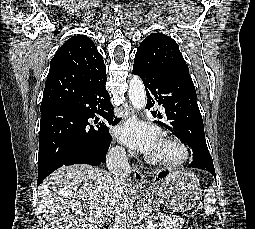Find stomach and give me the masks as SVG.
I'll use <instances>...</instances> for the list:
<instances>
[{
    "label": "stomach",
    "mask_w": 255,
    "mask_h": 229,
    "mask_svg": "<svg viewBox=\"0 0 255 229\" xmlns=\"http://www.w3.org/2000/svg\"><path fill=\"white\" fill-rule=\"evenodd\" d=\"M156 195L166 199L173 212L182 213L196 206L202 190L197 177L189 171H175L156 187Z\"/></svg>",
    "instance_id": "1"
}]
</instances>
